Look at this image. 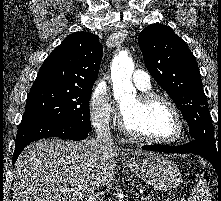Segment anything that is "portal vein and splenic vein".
<instances>
[{"instance_id": "18ae733b", "label": "portal vein and splenic vein", "mask_w": 221, "mask_h": 201, "mask_svg": "<svg viewBox=\"0 0 221 201\" xmlns=\"http://www.w3.org/2000/svg\"><path fill=\"white\" fill-rule=\"evenodd\" d=\"M142 201H151V200L147 197H142Z\"/></svg>"}]
</instances>
